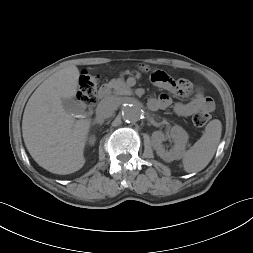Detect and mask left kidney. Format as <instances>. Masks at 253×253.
<instances>
[{
	"label": "left kidney",
	"mask_w": 253,
	"mask_h": 253,
	"mask_svg": "<svg viewBox=\"0 0 253 253\" xmlns=\"http://www.w3.org/2000/svg\"><path fill=\"white\" fill-rule=\"evenodd\" d=\"M152 144L156 154L165 162H171L182 158L186 144L188 142L187 132L180 126H173L169 134H164L162 131H155L152 134ZM167 138L172 139L174 145L172 149L166 151L163 148L162 142Z\"/></svg>",
	"instance_id": "5707ae66"
}]
</instances>
